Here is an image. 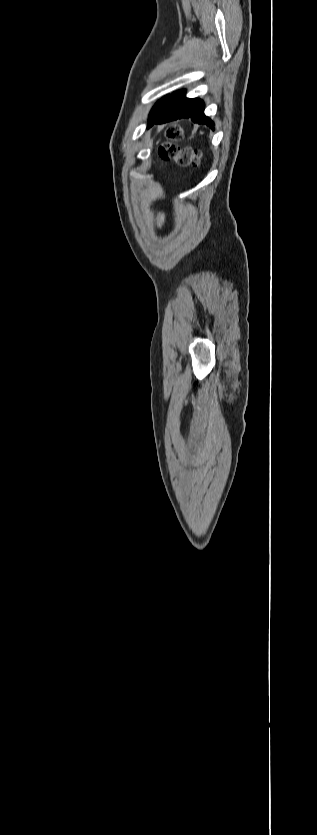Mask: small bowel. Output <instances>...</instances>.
I'll return each mask as SVG.
<instances>
[{
  "instance_id": "obj_1",
  "label": "small bowel",
  "mask_w": 317,
  "mask_h": 835,
  "mask_svg": "<svg viewBox=\"0 0 317 835\" xmlns=\"http://www.w3.org/2000/svg\"><path fill=\"white\" fill-rule=\"evenodd\" d=\"M163 222H164V218H163V216H161L160 219H159V224H163Z\"/></svg>"
}]
</instances>
